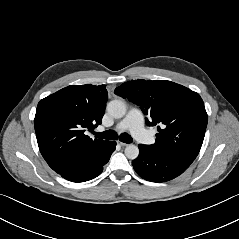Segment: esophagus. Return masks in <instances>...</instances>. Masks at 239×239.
<instances>
[{
	"label": "esophagus",
	"mask_w": 239,
	"mask_h": 239,
	"mask_svg": "<svg viewBox=\"0 0 239 239\" xmlns=\"http://www.w3.org/2000/svg\"><path fill=\"white\" fill-rule=\"evenodd\" d=\"M117 144L121 147H126L128 145L127 143H124V142H121V141H117Z\"/></svg>",
	"instance_id": "esophagus-1"
}]
</instances>
